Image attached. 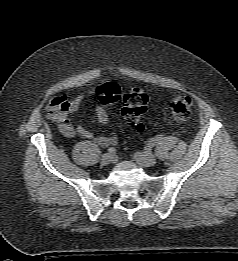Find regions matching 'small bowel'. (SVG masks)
<instances>
[{"instance_id":"1","label":"small bowel","mask_w":238,"mask_h":261,"mask_svg":"<svg viewBox=\"0 0 238 261\" xmlns=\"http://www.w3.org/2000/svg\"><path fill=\"white\" fill-rule=\"evenodd\" d=\"M93 93V91H89L86 93L78 94L72 100L68 101L67 110L53 119L58 123L61 133L66 137H73L75 135H78L85 139H91L101 146L115 145L117 143V136L115 133L110 132L109 134L105 135H95L85 126H75L71 122V116L79 110L85 99ZM96 116L100 124H102L103 126L109 125V118L104 106L98 105L96 107Z\"/></svg>"}]
</instances>
